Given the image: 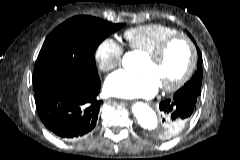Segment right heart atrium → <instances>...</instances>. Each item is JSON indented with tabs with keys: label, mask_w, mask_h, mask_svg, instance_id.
<instances>
[{
	"label": "right heart atrium",
	"mask_w": 240,
	"mask_h": 160,
	"mask_svg": "<svg viewBox=\"0 0 240 160\" xmlns=\"http://www.w3.org/2000/svg\"><path fill=\"white\" fill-rule=\"evenodd\" d=\"M124 54L123 46L113 38L103 39L95 50V60L102 72L118 68Z\"/></svg>",
	"instance_id": "obj_1"
}]
</instances>
